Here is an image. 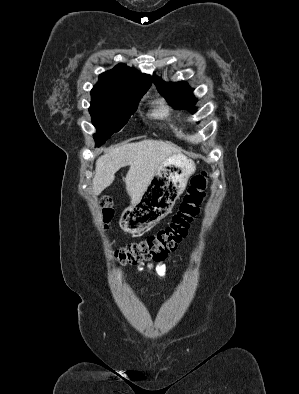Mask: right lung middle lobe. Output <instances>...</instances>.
<instances>
[{
	"label": "right lung middle lobe",
	"instance_id": "right-lung-middle-lobe-1",
	"mask_svg": "<svg viewBox=\"0 0 299 394\" xmlns=\"http://www.w3.org/2000/svg\"><path fill=\"white\" fill-rule=\"evenodd\" d=\"M143 96L139 93L119 91L108 94H91L89 108L92 122L98 133L94 135L97 145H101L113 133L119 132L136 111Z\"/></svg>",
	"mask_w": 299,
	"mask_h": 394
}]
</instances>
